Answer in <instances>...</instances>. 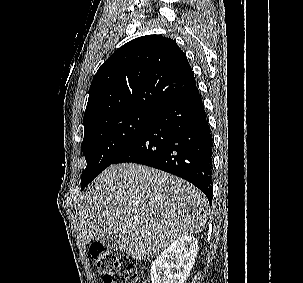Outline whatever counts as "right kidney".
Instances as JSON below:
<instances>
[{
	"mask_svg": "<svg viewBox=\"0 0 303 283\" xmlns=\"http://www.w3.org/2000/svg\"><path fill=\"white\" fill-rule=\"evenodd\" d=\"M198 241L192 236L175 240L153 262L152 283H184L195 262Z\"/></svg>",
	"mask_w": 303,
	"mask_h": 283,
	"instance_id": "obj_1",
	"label": "right kidney"
}]
</instances>
